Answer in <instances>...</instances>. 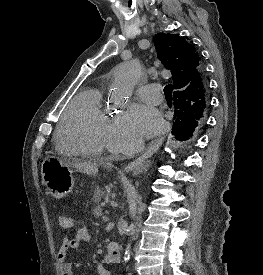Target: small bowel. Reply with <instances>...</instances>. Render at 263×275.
<instances>
[{"mask_svg": "<svg viewBox=\"0 0 263 275\" xmlns=\"http://www.w3.org/2000/svg\"><path fill=\"white\" fill-rule=\"evenodd\" d=\"M90 240L91 235L85 227L78 229L73 236H67L63 239L58 252V262L62 275H73L72 264L68 261V253L77 250L82 243H88ZM99 273L101 275H111L103 267L99 269Z\"/></svg>", "mask_w": 263, "mask_h": 275, "instance_id": "c3829d8e", "label": "small bowel"}]
</instances>
